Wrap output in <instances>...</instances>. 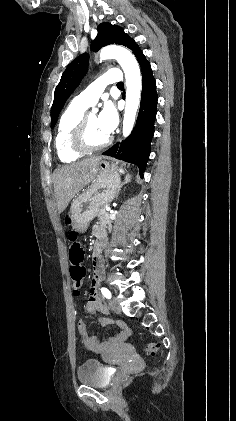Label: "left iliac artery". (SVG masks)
Returning <instances> with one entry per match:
<instances>
[{
    "mask_svg": "<svg viewBox=\"0 0 236 421\" xmlns=\"http://www.w3.org/2000/svg\"><path fill=\"white\" fill-rule=\"evenodd\" d=\"M101 292H102L104 297H106L107 299H111V296H112L111 292L107 288L102 287Z\"/></svg>",
    "mask_w": 236,
    "mask_h": 421,
    "instance_id": "left-iliac-artery-1",
    "label": "left iliac artery"
}]
</instances>
